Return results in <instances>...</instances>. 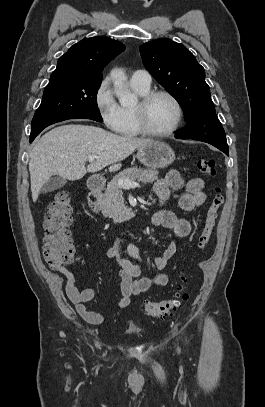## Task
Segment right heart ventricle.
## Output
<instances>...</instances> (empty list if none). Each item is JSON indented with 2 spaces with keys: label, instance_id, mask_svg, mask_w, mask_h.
Instances as JSON below:
<instances>
[{
  "label": "right heart ventricle",
  "instance_id": "right-heart-ventricle-1",
  "mask_svg": "<svg viewBox=\"0 0 265 407\" xmlns=\"http://www.w3.org/2000/svg\"><path fill=\"white\" fill-rule=\"evenodd\" d=\"M132 88L139 96H143L149 92V88H143L136 85H132ZM120 116L121 119L116 132L125 138L138 137L140 133L135 125L134 108L126 106L120 107Z\"/></svg>",
  "mask_w": 265,
  "mask_h": 407
}]
</instances>
